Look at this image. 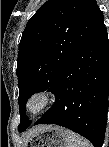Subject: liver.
<instances>
[{"mask_svg":"<svg viewBox=\"0 0 109 147\" xmlns=\"http://www.w3.org/2000/svg\"><path fill=\"white\" fill-rule=\"evenodd\" d=\"M46 127H47V125H38L36 127H33L32 129L28 130L25 133V138L28 139V138L32 137L36 133H38V132L42 131L43 129H45Z\"/></svg>","mask_w":109,"mask_h":147,"instance_id":"1","label":"liver"}]
</instances>
